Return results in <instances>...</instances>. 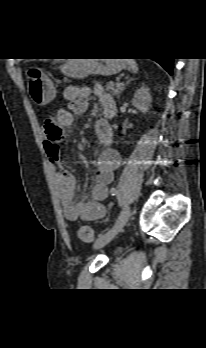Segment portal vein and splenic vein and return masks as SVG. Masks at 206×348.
<instances>
[{
    "label": "portal vein and splenic vein",
    "instance_id": "18ae733b",
    "mask_svg": "<svg viewBox=\"0 0 206 348\" xmlns=\"http://www.w3.org/2000/svg\"><path fill=\"white\" fill-rule=\"evenodd\" d=\"M121 86V83H116V87H120Z\"/></svg>",
    "mask_w": 206,
    "mask_h": 348
}]
</instances>
